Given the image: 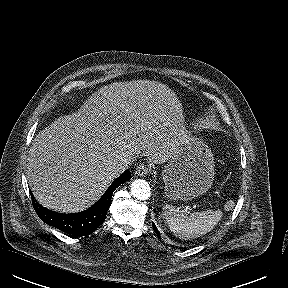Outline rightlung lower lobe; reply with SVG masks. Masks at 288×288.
<instances>
[{"mask_svg": "<svg viewBox=\"0 0 288 288\" xmlns=\"http://www.w3.org/2000/svg\"><path fill=\"white\" fill-rule=\"evenodd\" d=\"M131 178L129 170L113 181L104 195L93 206L74 214H62L41 206L32 195L37 215L48 225L54 226L71 236H85L93 233L105 220L111 205L112 194L117 187Z\"/></svg>", "mask_w": 288, "mask_h": 288, "instance_id": "1", "label": "right lung lower lobe"}]
</instances>
